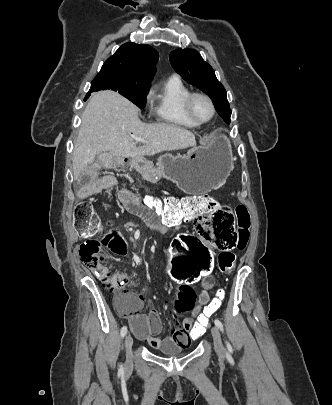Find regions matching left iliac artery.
I'll return each instance as SVG.
<instances>
[{
    "label": "left iliac artery",
    "instance_id": "1",
    "mask_svg": "<svg viewBox=\"0 0 332 405\" xmlns=\"http://www.w3.org/2000/svg\"><path fill=\"white\" fill-rule=\"evenodd\" d=\"M214 323H215V325H216L221 331H223V324L221 323L220 320L215 319V320H214ZM227 345H228V344H227Z\"/></svg>",
    "mask_w": 332,
    "mask_h": 405
}]
</instances>
